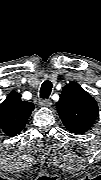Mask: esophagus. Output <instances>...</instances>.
Returning <instances> with one entry per match:
<instances>
[{"label":"esophagus","instance_id":"1","mask_svg":"<svg viewBox=\"0 0 101 180\" xmlns=\"http://www.w3.org/2000/svg\"><path fill=\"white\" fill-rule=\"evenodd\" d=\"M39 103L41 106L48 107L52 104V101L51 99H42Z\"/></svg>","mask_w":101,"mask_h":180}]
</instances>
